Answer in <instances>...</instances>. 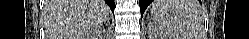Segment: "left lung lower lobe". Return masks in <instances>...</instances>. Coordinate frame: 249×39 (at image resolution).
<instances>
[{
  "label": "left lung lower lobe",
  "mask_w": 249,
  "mask_h": 39,
  "mask_svg": "<svg viewBox=\"0 0 249 39\" xmlns=\"http://www.w3.org/2000/svg\"><path fill=\"white\" fill-rule=\"evenodd\" d=\"M152 0H140V11H141V17L143 16V13L147 6L151 3Z\"/></svg>",
  "instance_id": "0a47b994"
}]
</instances>
